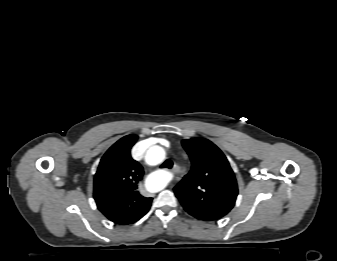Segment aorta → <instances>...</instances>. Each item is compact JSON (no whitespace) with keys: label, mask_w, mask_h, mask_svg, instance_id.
I'll list each match as a JSON object with an SVG mask.
<instances>
[{"label":"aorta","mask_w":337,"mask_h":261,"mask_svg":"<svg viewBox=\"0 0 337 261\" xmlns=\"http://www.w3.org/2000/svg\"><path fill=\"white\" fill-rule=\"evenodd\" d=\"M165 158V150L160 146L150 147L145 155V161L148 165L155 166L163 162ZM160 183L158 184L157 190H161L165 185V175H158Z\"/></svg>","instance_id":"762f6f07"}]
</instances>
